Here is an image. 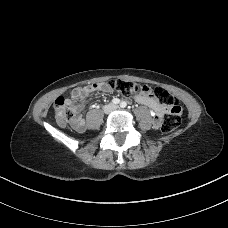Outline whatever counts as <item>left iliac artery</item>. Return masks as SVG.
I'll return each instance as SVG.
<instances>
[{"instance_id": "left-iliac-artery-1", "label": "left iliac artery", "mask_w": 228, "mask_h": 228, "mask_svg": "<svg viewBox=\"0 0 228 228\" xmlns=\"http://www.w3.org/2000/svg\"><path fill=\"white\" fill-rule=\"evenodd\" d=\"M120 106H121L122 108H125V107L127 106V103H126L125 101H123V102L120 103Z\"/></svg>"}]
</instances>
